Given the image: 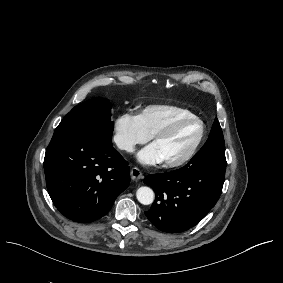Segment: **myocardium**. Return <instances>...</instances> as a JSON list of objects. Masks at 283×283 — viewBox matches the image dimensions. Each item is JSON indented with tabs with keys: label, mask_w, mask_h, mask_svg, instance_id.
Segmentation results:
<instances>
[{
	"label": "myocardium",
	"mask_w": 283,
	"mask_h": 283,
	"mask_svg": "<svg viewBox=\"0 0 283 283\" xmlns=\"http://www.w3.org/2000/svg\"><path fill=\"white\" fill-rule=\"evenodd\" d=\"M187 121H196L200 124V131L199 134L197 136L196 141L194 142V144L192 145V147L190 148V150L187 152V154L185 156H183L181 159L177 160V161H165V164L167 167L170 168H179L182 167L186 164H188L197 154V152L199 151V149L201 148L205 136H206V124L205 122L198 116L196 115H184V116H180L177 119H175L170 125H168L165 129H163L162 131L158 132L157 134H155L154 139L160 140V139H165V138H169L171 137L175 131L177 130V128L184 122Z\"/></svg>",
	"instance_id": "myocardium-1"
}]
</instances>
